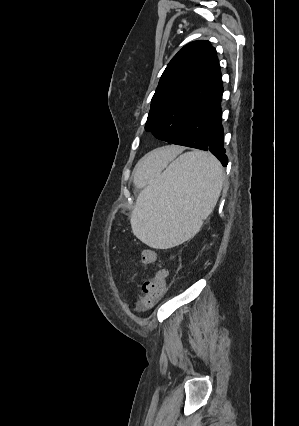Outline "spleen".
<instances>
[{
    "mask_svg": "<svg viewBox=\"0 0 299 426\" xmlns=\"http://www.w3.org/2000/svg\"><path fill=\"white\" fill-rule=\"evenodd\" d=\"M224 172L210 153L191 151L155 172L131 214L133 234L149 247L168 249L194 236L213 211Z\"/></svg>",
    "mask_w": 299,
    "mask_h": 426,
    "instance_id": "obj_1",
    "label": "spleen"
}]
</instances>
